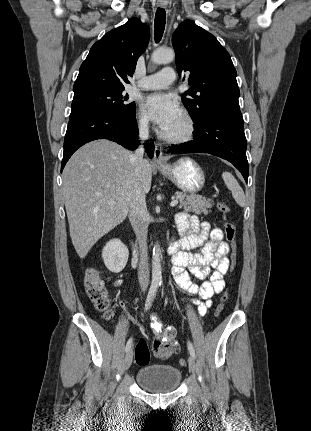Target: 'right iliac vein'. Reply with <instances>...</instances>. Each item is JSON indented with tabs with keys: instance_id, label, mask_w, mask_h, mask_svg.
<instances>
[{
	"instance_id": "obj_1",
	"label": "right iliac vein",
	"mask_w": 311,
	"mask_h": 431,
	"mask_svg": "<svg viewBox=\"0 0 311 431\" xmlns=\"http://www.w3.org/2000/svg\"><path fill=\"white\" fill-rule=\"evenodd\" d=\"M132 360H133V352H132V350H129L125 356V369L126 370L131 366Z\"/></svg>"
}]
</instances>
